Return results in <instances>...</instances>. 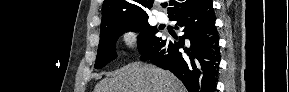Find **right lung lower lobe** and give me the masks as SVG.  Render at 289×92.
I'll use <instances>...</instances> for the list:
<instances>
[{
  "mask_svg": "<svg viewBox=\"0 0 289 92\" xmlns=\"http://www.w3.org/2000/svg\"><path fill=\"white\" fill-rule=\"evenodd\" d=\"M170 19L177 21V28H181L184 35L175 42L156 40L142 53L141 60L148 59L171 71L189 92H214L220 52L212 0Z\"/></svg>",
  "mask_w": 289,
  "mask_h": 92,
  "instance_id": "obj_1",
  "label": "right lung lower lobe"
}]
</instances>
